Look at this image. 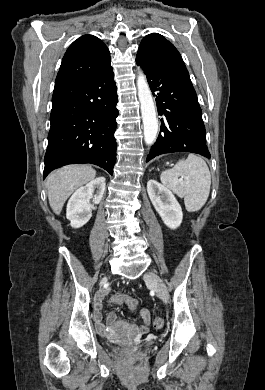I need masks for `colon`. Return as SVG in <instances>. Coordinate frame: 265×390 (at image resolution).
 Instances as JSON below:
<instances>
[{"mask_svg": "<svg viewBox=\"0 0 265 390\" xmlns=\"http://www.w3.org/2000/svg\"><path fill=\"white\" fill-rule=\"evenodd\" d=\"M110 301L112 303H117V304H126L129 309H136L138 302L135 298L129 296L128 294L125 293H116L113 296H111ZM163 326V319L161 317H157L154 320V327L156 329H160Z\"/></svg>", "mask_w": 265, "mask_h": 390, "instance_id": "1", "label": "colon"}]
</instances>
